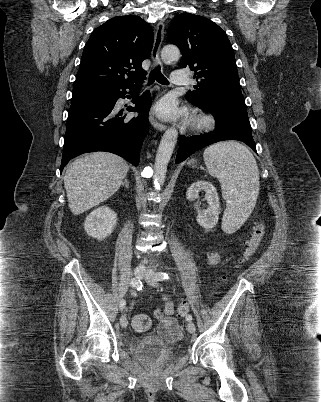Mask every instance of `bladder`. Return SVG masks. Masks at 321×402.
Returning a JSON list of instances; mask_svg holds the SVG:
<instances>
[{
  "instance_id": "31cf9c89",
  "label": "bladder",
  "mask_w": 321,
  "mask_h": 402,
  "mask_svg": "<svg viewBox=\"0 0 321 402\" xmlns=\"http://www.w3.org/2000/svg\"><path fill=\"white\" fill-rule=\"evenodd\" d=\"M179 339L173 344L164 342L153 332L141 335L135 340L132 353L144 364L151 367L167 366L176 357Z\"/></svg>"
}]
</instances>
